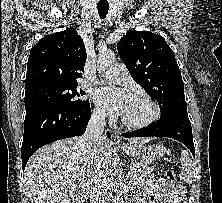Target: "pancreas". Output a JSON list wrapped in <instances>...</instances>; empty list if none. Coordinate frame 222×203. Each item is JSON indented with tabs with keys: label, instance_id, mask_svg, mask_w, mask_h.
Segmentation results:
<instances>
[{
	"label": "pancreas",
	"instance_id": "obj_1",
	"mask_svg": "<svg viewBox=\"0 0 222 203\" xmlns=\"http://www.w3.org/2000/svg\"><path fill=\"white\" fill-rule=\"evenodd\" d=\"M130 171L128 177L132 183L143 180L148 174H151L153 167H149L146 164L132 162L129 166Z\"/></svg>",
	"mask_w": 222,
	"mask_h": 203
}]
</instances>
